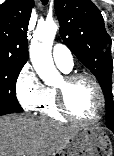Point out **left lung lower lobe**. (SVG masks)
<instances>
[{"mask_svg": "<svg viewBox=\"0 0 114 156\" xmlns=\"http://www.w3.org/2000/svg\"><path fill=\"white\" fill-rule=\"evenodd\" d=\"M114 133V127L109 128Z\"/></svg>", "mask_w": 114, "mask_h": 156, "instance_id": "left-lung-lower-lobe-1", "label": "left lung lower lobe"}]
</instances>
